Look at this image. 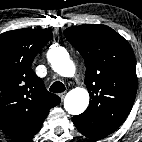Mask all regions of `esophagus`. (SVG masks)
<instances>
[{
	"label": "esophagus",
	"mask_w": 142,
	"mask_h": 142,
	"mask_svg": "<svg viewBox=\"0 0 142 142\" xmlns=\"http://www.w3.org/2000/svg\"><path fill=\"white\" fill-rule=\"evenodd\" d=\"M66 92L60 93L59 97L61 98V100H63L65 98Z\"/></svg>",
	"instance_id": "34e87169"
}]
</instances>
